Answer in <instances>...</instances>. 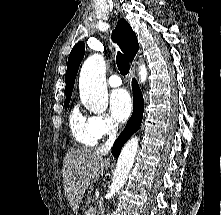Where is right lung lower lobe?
<instances>
[{
	"label": "right lung lower lobe",
	"instance_id": "right-lung-lower-lobe-1",
	"mask_svg": "<svg viewBox=\"0 0 221 215\" xmlns=\"http://www.w3.org/2000/svg\"><path fill=\"white\" fill-rule=\"evenodd\" d=\"M133 88V100H134V109L133 114L128 121L125 129L120 134V136L115 141L112 154L114 157H118L123 145L125 142L139 129L142 121L143 110H144V101L142 93L139 89V86L135 79L132 80Z\"/></svg>",
	"mask_w": 221,
	"mask_h": 215
}]
</instances>
